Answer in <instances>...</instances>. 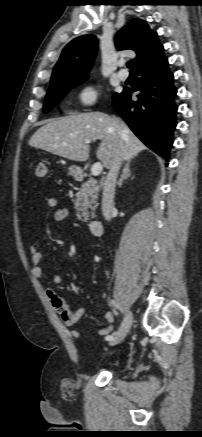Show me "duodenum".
<instances>
[{
	"instance_id": "410a0bca",
	"label": "duodenum",
	"mask_w": 202,
	"mask_h": 437,
	"mask_svg": "<svg viewBox=\"0 0 202 437\" xmlns=\"http://www.w3.org/2000/svg\"><path fill=\"white\" fill-rule=\"evenodd\" d=\"M77 177L79 179H83L82 172H78ZM88 226H89V230H90L92 235L100 236L102 234L103 226H102V223L100 220L93 219L89 222Z\"/></svg>"
}]
</instances>
